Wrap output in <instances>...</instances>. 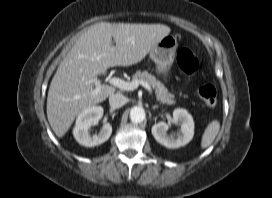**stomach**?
I'll use <instances>...</instances> for the list:
<instances>
[{
    "label": "stomach",
    "instance_id": "0dacf381",
    "mask_svg": "<svg viewBox=\"0 0 272 198\" xmlns=\"http://www.w3.org/2000/svg\"><path fill=\"white\" fill-rule=\"evenodd\" d=\"M177 39L173 35L165 36L151 51L150 58L156 65V73L166 79L174 62Z\"/></svg>",
    "mask_w": 272,
    "mask_h": 198
}]
</instances>
